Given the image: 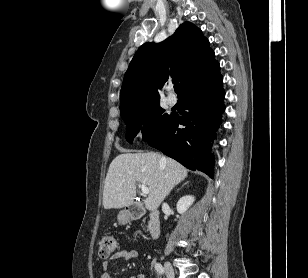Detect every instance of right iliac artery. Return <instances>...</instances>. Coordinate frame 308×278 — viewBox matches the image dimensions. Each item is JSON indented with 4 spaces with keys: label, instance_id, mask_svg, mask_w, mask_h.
Returning <instances> with one entry per match:
<instances>
[{
    "label": "right iliac artery",
    "instance_id": "1",
    "mask_svg": "<svg viewBox=\"0 0 308 278\" xmlns=\"http://www.w3.org/2000/svg\"><path fill=\"white\" fill-rule=\"evenodd\" d=\"M155 269L159 274H164V268L160 263L155 264Z\"/></svg>",
    "mask_w": 308,
    "mask_h": 278
}]
</instances>
